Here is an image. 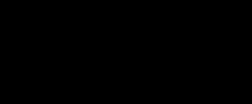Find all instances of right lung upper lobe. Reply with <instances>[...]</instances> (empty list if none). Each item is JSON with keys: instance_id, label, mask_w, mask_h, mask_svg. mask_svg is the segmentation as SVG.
Instances as JSON below:
<instances>
[{"instance_id": "obj_1", "label": "right lung upper lobe", "mask_w": 252, "mask_h": 104, "mask_svg": "<svg viewBox=\"0 0 252 104\" xmlns=\"http://www.w3.org/2000/svg\"><path fill=\"white\" fill-rule=\"evenodd\" d=\"M42 54H43V50L40 51L39 56H38V57H39L38 59L41 58ZM38 71H39V70H38ZM39 73H40V71H39Z\"/></svg>"}]
</instances>
